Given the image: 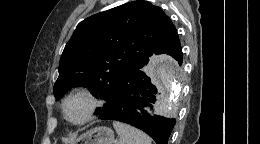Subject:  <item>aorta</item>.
<instances>
[{
    "mask_svg": "<svg viewBox=\"0 0 260 144\" xmlns=\"http://www.w3.org/2000/svg\"><path fill=\"white\" fill-rule=\"evenodd\" d=\"M153 74L156 76L160 85L170 89V104L164 107L165 112H169L179 93V85L176 81V65L166 56H159L154 61Z\"/></svg>",
    "mask_w": 260,
    "mask_h": 144,
    "instance_id": "aorta-1",
    "label": "aorta"
}]
</instances>
